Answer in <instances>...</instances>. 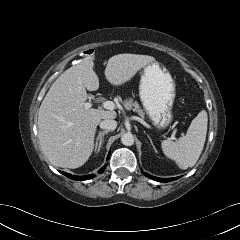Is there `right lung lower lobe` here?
Wrapping results in <instances>:
<instances>
[{"label": "right lung lower lobe", "instance_id": "1", "mask_svg": "<svg viewBox=\"0 0 240 240\" xmlns=\"http://www.w3.org/2000/svg\"><path fill=\"white\" fill-rule=\"evenodd\" d=\"M105 167H106V166H103L98 172H99V173H102V172L105 170ZM60 172H61L63 175H65L66 177H68V178H70V179H73V180H80V181H82V180H88V179H91V178L95 177L94 174L78 177V176H74V175H71V174H68V173H65V172H62V171H60Z\"/></svg>", "mask_w": 240, "mask_h": 240}]
</instances>
